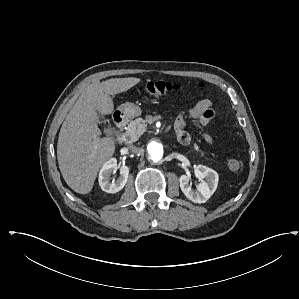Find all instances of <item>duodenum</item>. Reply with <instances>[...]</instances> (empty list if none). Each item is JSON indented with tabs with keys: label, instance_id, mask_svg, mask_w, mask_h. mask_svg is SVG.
I'll return each mask as SVG.
<instances>
[{
	"label": "duodenum",
	"instance_id": "1",
	"mask_svg": "<svg viewBox=\"0 0 299 299\" xmlns=\"http://www.w3.org/2000/svg\"><path fill=\"white\" fill-rule=\"evenodd\" d=\"M113 120H114V123H115L118 131L120 132L118 134V142L123 143L124 138H123V135L121 132L123 131L124 127L126 126L127 119L123 113L116 111L113 113Z\"/></svg>",
	"mask_w": 299,
	"mask_h": 299
}]
</instances>
